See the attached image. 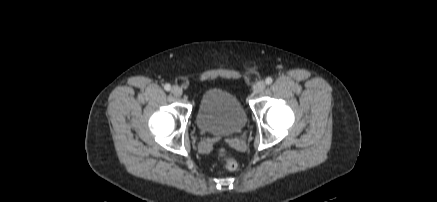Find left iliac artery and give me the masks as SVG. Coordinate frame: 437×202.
<instances>
[{"label":"left iliac artery","instance_id":"obj_1","mask_svg":"<svg viewBox=\"0 0 437 202\" xmlns=\"http://www.w3.org/2000/svg\"><path fill=\"white\" fill-rule=\"evenodd\" d=\"M265 82L266 84L270 85L273 82V79L271 77H267Z\"/></svg>","mask_w":437,"mask_h":202}]
</instances>
